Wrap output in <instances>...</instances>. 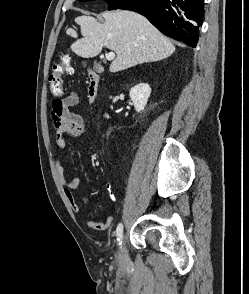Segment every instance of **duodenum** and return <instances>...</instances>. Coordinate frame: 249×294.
Segmentation results:
<instances>
[{"label": "duodenum", "instance_id": "410a0bca", "mask_svg": "<svg viewBox=\"0 0 249 294\" xmlns=\"http://www.w3.org/2000/svg\"><path fill=\"white\" fill-rule=\"evenodd\" d=\"M100 81V75L97 72L93 70L88 72L87 97L90 103H94L99 96Z\"/></svg>", "mask_w": 249, "mask_h": 294}]
</instances>
